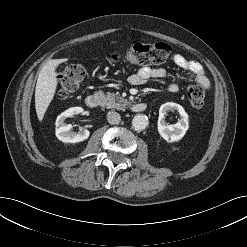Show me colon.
Here are the masks:
<instances>
[{"label": "colon", "instance_id": "5ec220e1", "mask_svg": "<svg viewBox=\"0 0 247 247\" xmlns=\"http://www.w3.org/2000/svg\"><path fill=\"white\" fill-rule=\"evenodd\" d=\"M172 55L171 47L166 43H137L122 53L114 52L112 61L125 60L129 63L148 66L166 63ZM85 79V70L81 65L73 64L65 67L58 76V94L67 98L78 92ZM186 97L190 105L200 108L204 104L205 92L200 85H190L186 89Z\"/></svg>", "mask_w": 247, "mask_h": 247}]
</instances>
